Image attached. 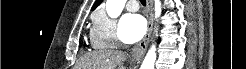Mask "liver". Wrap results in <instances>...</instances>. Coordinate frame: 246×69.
<instances>
[{"label": "liver", "instance_id": "liver-1", "mask_svg": "<svg viewBox=\"0 0 246 69\" xmlns=\"http://www.w3.org/2000/svg\"><path fill=\"white\" fill-rule=\"evenodd\" d=\"M126 60V54L118 50H98L80 58L76 69H115Z\"/></svg>", "mask_w": 246, "mask_h": 69}]
</instances>
